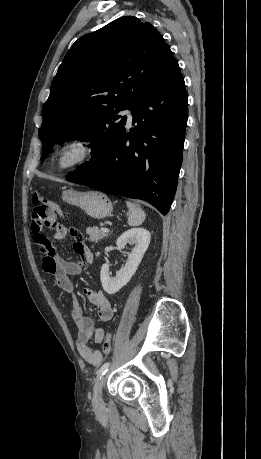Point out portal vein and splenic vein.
<instances>
[{"label":"portal vein and splenic vein","mask_w":261,"mask_h":459,"mask_svg":"<svg viewBox=\"0 0 261 459\" xmlns=\"http://www.w3.org/2000/svg\"><path fill=\"white\" fill-rule=\"evenodd\" d=\"M101 230H103L105 232H109L110 231L108 228H102Z\"/></svg>","instance_id":"18ae733b"}]
</instances>
